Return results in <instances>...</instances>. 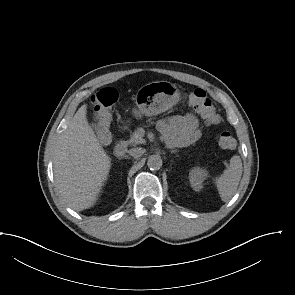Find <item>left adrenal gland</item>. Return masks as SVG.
I'll list each match as a JSON object with an SVG mask.
<instances>
[{
  "label": "left adrenal gland",
  "instance_id": "1",
  "mask_svg": "<svg viewBox=\"0 0 295 295\" xmlns=\"http://www.w3.org/2000/svg\"><path fill=\"white\" fill-rule=\"evenodd\" d=\"M171 153H176L177 152V150H172V151H170Z\"/></svg>",
  "mask_w": 295,
  "mask_h": 295
}]
</instances>
